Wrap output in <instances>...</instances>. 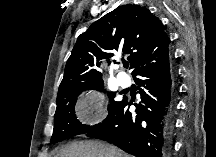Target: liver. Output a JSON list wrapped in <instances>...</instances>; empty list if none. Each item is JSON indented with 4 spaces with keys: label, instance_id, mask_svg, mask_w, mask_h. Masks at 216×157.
Here are the masks:
<instances>
[{
    "label": "liver",
    "instance_id": "liver-1",
    "mask_svg": "<svg viewBox=\"0 0 216 157\" xmlns=\"http://www.w3.org/2000/svg\"><path fill=\"white\" fill-rule=\"evenodd\" d=\"M55 157H128L113 145L99 141H87L66 145Z\"/></svg>",
    "mask_w": 216,
    "mask_h": 157
}]
</instances>
